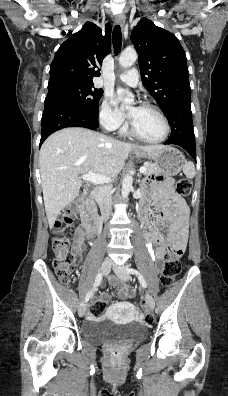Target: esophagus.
<instances>
[{"instance_id": "1", "label": "esophagus", "mask_w": 228, "mask_h": 396, "mask_svg": "<svg viewBox=\"0 0 228 396\" xmlns=\"http://www.w3.org/2000/svg\"><path fill=\"white\" fill-rule=\"evenodd\" d=\"M115 22H116V24H118V25H120L121 27H123L124 24H125V17H124V15H123V14L117 15L116 18H115Z\"/></svg>"}]
</instances>
